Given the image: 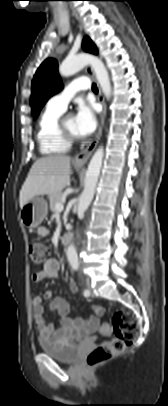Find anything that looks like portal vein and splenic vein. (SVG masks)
Masks as SVG:
<instances>
[{
	"label": "portal vein and splenic vein",
	"mask_w": 168,
	"mask_h": 406,
	"mask_svg": "<svg viewBox=\"0 0 168 406\" xmlns=\"http://www.w3.org/2000/svg\"><path fill=\"white\" fill-rule=\"evenodd\" d=\"M55 209L57 211H62L64 209V205L62 203H56Z\"/></svg>",
	"instance_id": "obj_1"
}]
</instances>
